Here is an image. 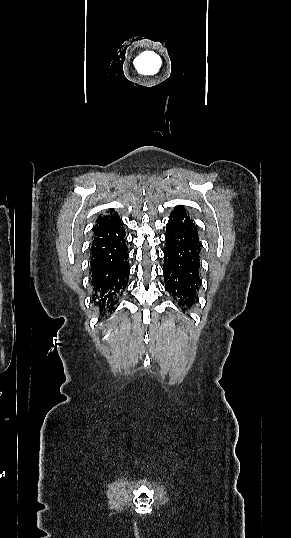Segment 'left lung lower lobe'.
Returning <instances> with one entry per match:
<instances>
[{"label":"left lung lower lobe","instance_id":"obj_1","mask_svg":"<svg viewBox=\"0 0 291 538\" xmlns=\"http://www.w3.org/2000/svg\"><path fill=\"white\" fill-rule=\"evenodd\" d=\"M165 236V289L180 307L186 308L197 302L196 293L201 284L199 252L202 245L197 227L189 215L175 209L170 214Z\"/></svg>","mask_w":291,"mask_h":538}]
</instances>
